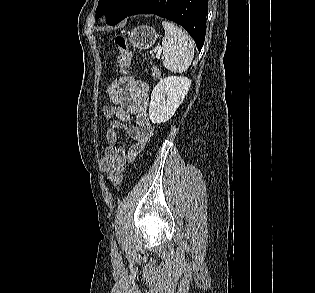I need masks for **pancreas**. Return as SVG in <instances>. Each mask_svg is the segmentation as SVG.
Here are the masks:
<instances>
[{
	"label": "pancreas",
	"mask_w": 315,
	"mask_h": 293,
	"mask_svg": "<svg viewBox=\"0 0 315 293\" xmlns=\"http://www.w3.org/2000/svg\"><path fill=\"white\" fill-rule=\"evenodd\" d=\"M151 71H152V75L154 78H160L161 76V72L159 71V69L157 67H152L151 68Z\"/></svg>",
	"instance_id": "cf45deb5"
}]
</instances>
